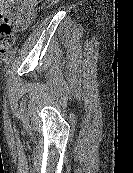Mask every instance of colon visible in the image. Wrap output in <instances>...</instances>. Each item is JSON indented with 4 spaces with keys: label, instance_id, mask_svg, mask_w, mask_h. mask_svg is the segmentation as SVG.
<instances>
[{
    "label": "colon",
    "instance_id": "1",
    "mask_svg": "<svg viewBox=\"0 0 133 173\" xmlns=\"http://www.w3.org/2000/svg\"><path fill=\"white\" fill-rule=\"evenodd\" d=\"M59 0H37V6L40 8L50 7L56 4ZM15 42L13 30L9 20L1 13L0 14V51L5 52Z\"/></svg>",
    "mask_w": 133,
    "mask_h": 173
}]
</instances>
